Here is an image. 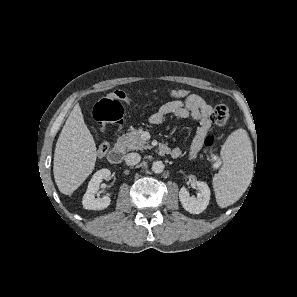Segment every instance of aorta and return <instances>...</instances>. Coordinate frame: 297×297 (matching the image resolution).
<instances>
[{
    "instance_id": "762f6f07",
    "label": "aorta",
    "mask_w": 297,
    "mask_h": 297,
    "mask_svg": "<svg viewBox=\"0 0 297 297\" xmlns=\"http://www.w3.org/2000/svg\"><path fill=\"white\" fill-rule=\"evenodd\" d=\"M152 171L156 174L162 173L164 171V164L162 161H154L152 164Z\"/></svg>"
}]
</instances>
